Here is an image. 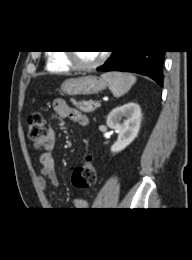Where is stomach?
Returning <instances> with one entry per match:
<instances>
[{
    "instance_id": "obj_1",
    "label": "stomach",
    "mask_w": 192,
    "mask_h": 260,
    "mask_svg": "<svg viewBox=\"0 0 192 260\" xmlns=\"http://www.w3.org/2000/svg\"><path fill=\"white\" fill-rule=\"evenodd\" d=\"M106 87L105 80L94 75H86L65 80L61 85V92L70 96L94 95Z\"/></svg>"
}]
</instances>
